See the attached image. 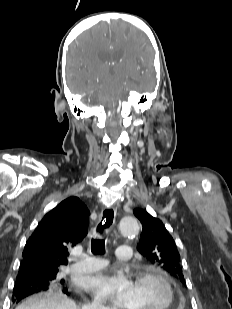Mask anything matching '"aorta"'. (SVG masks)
I'll return each instance as SVG.
<instances>
[{
  "mask_svg": "<svg viewBox=\"0 0 232 309\" xmlns=\"http://www.w3.org/2000/svg\"><path fill=\"white\" fill-rule=\"evenodd\" d=\"M121 233L125 236H136L139 233V224L135 217L125 216L119 222Z\"/></svg>",
  "mask_w": 232,
  "mask_h": 309,
  "instance_id": "762f6f07",
  "label": "aorta"
}]
</instances>
